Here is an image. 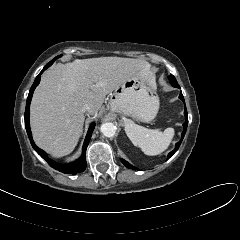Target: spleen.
<instances>
[{"label": "spleen", "instance_id": "3e777b00", "mask_svg": "<svg viewBox=\"0 0 240 240\" xmlns=\"http://www.w3.org/2000/svg\"><path fill=\"white\" fill-rule=\"evenodd\" d=\"M125 132L131 142L149 156L164 152L174 136L173 128H167L164 131L147 129L129 119L125 122Z\"/></svg>", "mask_w": 240, "mask_h": 240}]
</instances>
